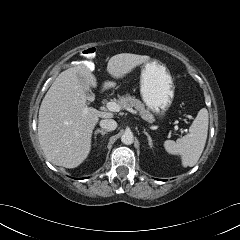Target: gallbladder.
<instances>
[{
	"label": "gallbladder",
	"instance_id": "obj_1",
	"mask_svg": "<svg viewBox=\"0 0 240 240\" xmlns=\"http://www.w3.org/2000/svg\"><path fill=\"white\" fill-rule=\"evenodd\" d=\"M78 80H79L80 85L83 87V89L85 91H89V85L87 84L86 79L83 76L78 75ZM88 98L94 99V95L92 93H88Z\"/></svg>",
	"mask_w": 240,
	"mask_h": 240
}]
</instances>
